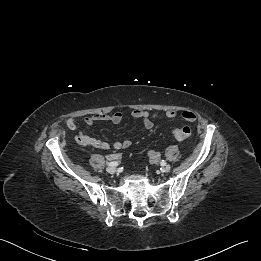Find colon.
Returning <instances> with one entry per match:
<instances>
[{
  "instance_id": "1",
  "label": "colon",
  "mask_w": 261,
  "mask_h": 261,
  "mask_svg": "<svg viewBox=\"0 0 261 261\" xmlns=\"http://www.w3.org/2000/svg\"><path fill=\"white\" fill-rule=\"evenodd\" d=\"M171 133L176 140L183 141L191 136L192 130L189 126L186 125L172 128Z\"/></svg>"
}]
</instances>
